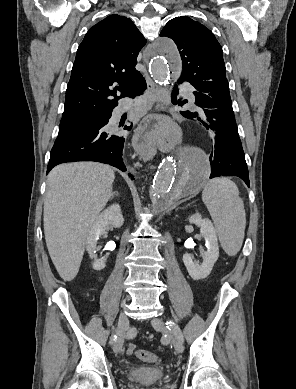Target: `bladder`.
I'll return each mask as SVG.
<instances>
[{"mask_svg": "<svg viewBox=\"0 0 296 389\" xmlns=\"http://www.w3.org/2000/svg\"><path fill=\"white\" fill-rule=\"evenodd\" d=\"M128 377L141 384H153L165 379L166 374L160 368L154 367H132L128 370Z\"/></svg>", "mask_w": 296, "mask_h": 389, "instance_id": "31cf9c89", "label": "bladder"}]
</instances>
